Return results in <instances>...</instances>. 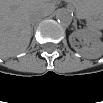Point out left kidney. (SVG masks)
<instances>
[{
	"instance_id": "1",
	"label": "left kidney",
	"mask_w": 103,
	"mask_h": 103,
	"mask_svg": "<svg viewBox=\"0 0 103 103\" xmlns=\"http://www.w3.org/2000/svg\"><path fill=\"white\" fill-rule=\"evenodd\" d=\"M75 38L83 40L85 43L90 44V48H77ZM69 42L71 46L78 52L85 55L87 58H97L101 54V42L92 35L84 34L81 31H74L69 36Z\"/></svg>"
}]
</instances>
